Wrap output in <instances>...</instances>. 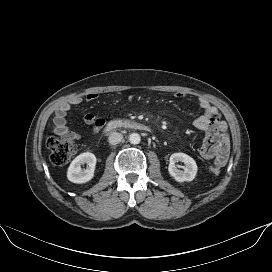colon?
Here are the masks:
<instances>
[{"label":"colon","mask_w":272,"mask_h":272,"mask_svg":"<svg viewBox=\"0 0 272 272\" xmlns=\"http://www.w3.org/2000/svg\"><path fill=\"white\" fill-rule=\"evenodd\" d=\"M47 146L50 149V159L57 166L65 165L76 152V146L73 142L65 140L58 134H53L47 139ZM212 175L217 176L221 172V167L212 166L210 168Z\"/></svg>","instance_id":"5ec220e1"}]
</instances>
